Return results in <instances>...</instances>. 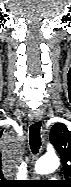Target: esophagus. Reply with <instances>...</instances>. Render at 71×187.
Segmentation results:
<instances>
[{"label":"esophagus","instance_id":"1","mask_svg":"<svg viewBox=\"0 0 71 187\" xmlns=\"http://www.w3.org/2000/svg\"><path fill=\"white\" fill-rule=\"evenodd\" d=\"M42 118V111L41 110H36V111H33L31 114H30V120L35 123L39 120H41Z\"/></svg>","mask_w":71,"mask_h":187}]
</instances>
